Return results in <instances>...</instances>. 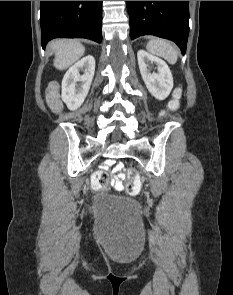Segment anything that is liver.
<instances>
[{
	"instance_id": "1",
	"label": "liver",
	"mask_w": 233,
	"mask_h": 295,
	"mask_svg": "<svg viewBox=\"0 0 233 295\" xmlns=\"http://www.w3.org/2000/svg\"><path fill=\"white\" fill-rule=\"evenodd\" d=\"M55 52L54 67L65 70L78 61L85 53L84 46L78 40L57 39L49 43Z\"/></svg>"
}]
</instances>
